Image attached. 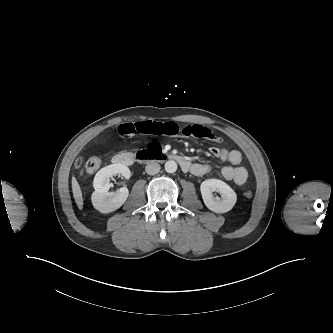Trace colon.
I'll return each mask as SVG.
<instances>
[{"instance_id": "5ec220e1", "label": "colon", "mask_w": 333, "mask_h": 333, "mask_svg": "<svg viewBox=\"0 0 333 333\" xmlns=\"http://www.w3.org/2000/svg\"><path fill=\"white\" fill-rule=\"evenodd\" d=\"M100 164L101 162L97 157L80 158L76 163V167L83 175H91L99 169ZM244 196L249 199L252 197V192L245 191Z\"/></svg>"}]
</instances>
